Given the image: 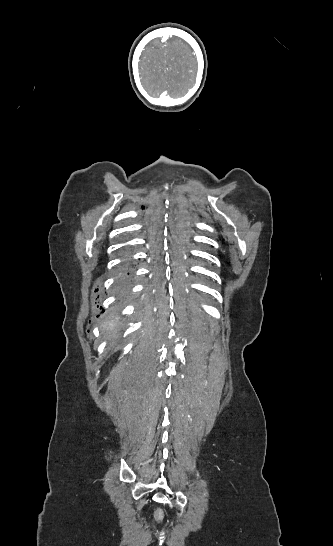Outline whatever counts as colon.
I'll use <instances>...</instances> for the list:
<instances>
[{"instance_id": "1", "label": "colon", "mask_w": 333, "mask_h": 546, "mask_svg": "<svg viewBox=\"0 0 333 546\" xmlns=\"http://www.w3.org/2000/svg\"><path fill=\"white\" fill-rule=\"evenodd\" d=\"M164 514L163 511L160 508H157L154 511V519L156 522L161 523L163 521Z\"/></svg>"}]
</instances>
